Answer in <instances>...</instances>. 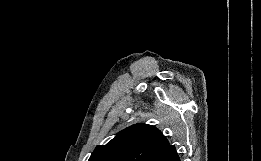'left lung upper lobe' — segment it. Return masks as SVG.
<instances>
[{"label": "left lung upper lobe", "mask_w": 261, "mask_h": 161, "mask_svg": "<svg viewBox=\"0 0 261 161\" xmlns=\"http://www.w3.org/2000/svg\"><path fill=\"white\" fill-rule=\"evenodd\" d=\"M169 145L157 128L139 123L122 130L106 145H98L88 161H152Z\"/></svg>", "instance_id": "left-lung-upper-lobe-1"}]
</instances>
